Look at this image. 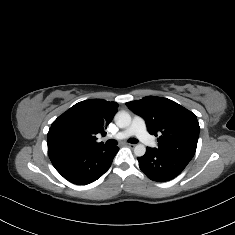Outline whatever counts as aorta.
Wrapping results in <instances>:
<instances>
[{
  "mask_svg": "<svg viewBox=\"0 0 235 235\" xmlns=\"http://www.w3.org/2000/svg\"><path fill=\"white\" fill-rule=\"evenodd\" d=\"M114 121L119 128H127L131 125L132 118L126 111H119L114 117ZM146 152L144 144H137L134 148V153L137 156H143Z\"/></svg>",
  "mask_w": 235,
  "mask_h": 235,
  "instance_id": "aorta-1",
  "label": "aorta"
}]
</instances>
